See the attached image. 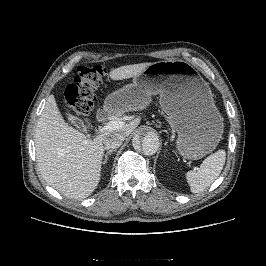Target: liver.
Masks as SVG:
<instances>
[{
    "mask_svg": "<svg viewBox=\"0 0 266 266\" xmlns=\"http://www.w3.org/2000/svg\"><path fill=\"white\" fill-rule=\"evenodd\" d=\"M150 64L121 66L110 71L109 76L113 80L135 77ZM139 123L140 118H136L120 129L107 131L90 140L66 124L54 95H50L37 122L34 137L37 165L42 177L66 197L87 198L100 181L104 138L116 132L129 136Z\"/></svg>",
    "mask_w": 266,
    "mask_h": 266,
    "instance_id": "6515ba94",
    "label": "liver"
}]
</instances>
